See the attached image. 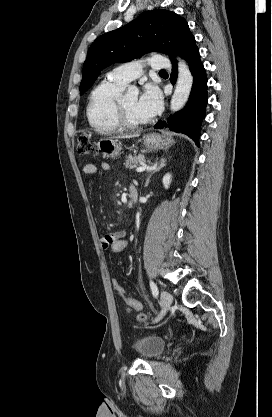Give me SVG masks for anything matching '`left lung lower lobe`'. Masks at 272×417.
Listing matches in <instances>:
<instances>
[{
    "label": "left lung lower lobe",
    "instance_id": "left-lung-lower-lobe-1",
    "mask_svg": "<svg viewBox=\"0 0 272 417\" xmlns=\"http://www.w3.org/2000/svg\"><path fill=\"white\" fill-rule=\"evenodd\" d=\"M189 69L193 75V86L189 101L186 107L170 116L166 124L165 121H159L154 128L161 129L168 127L172 131H177L188 135L198 145L200 137V125L205 117V109L207 105V77L200 60L198 47H195L185 58ZM177 62L173 63V72L171 74V82L175 84L177 78Z\"/></svg>",
    "mask_w": 272,
    "mask_h": 417
}]
</instances>
